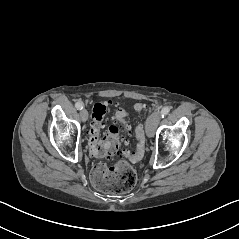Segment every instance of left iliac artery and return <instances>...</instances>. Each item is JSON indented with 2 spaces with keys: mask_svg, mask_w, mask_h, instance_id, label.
I'll list each match as a JSON object with an SVG mask.
<instances>
[{
  "mask_svg": "<svg viewBox=\"0 0 239 239\" xmlns=\"http://www.w3.org/2000/svg\"><path fill=\"white\" fill-rule=\"evenodd\" d=\"M169 111H170V108L169 107H163L162 108V110H161V116H162V118L164 117V116H166L168 113H169Z\"/></svg>",
  "mask_w": 239,
  "mask_h": 239,
  "instance_id": "1",
  "label": "left iliac artery"
}]
</instances>
